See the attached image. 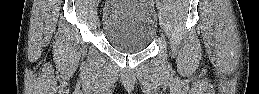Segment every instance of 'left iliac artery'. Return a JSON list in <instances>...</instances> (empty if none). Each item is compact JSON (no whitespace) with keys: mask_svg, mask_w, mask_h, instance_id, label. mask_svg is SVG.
<instances>
[{"mask_svg":"<svg viewBox=\"0 0 259 94\" xmlns=\"http://www.w3.org/2000/svg\"><path fill=\"white\" fill-rule=\"evenodd\" d=\"M156 5H157L159 10H163L164 9V7H163V5H162V3L160 1H156Z\"/></svg>","mask_w":259,"mask_h":94,"instance_id":"left-iliac-artery-1","label":"left iliac artery"}]
</instances>
